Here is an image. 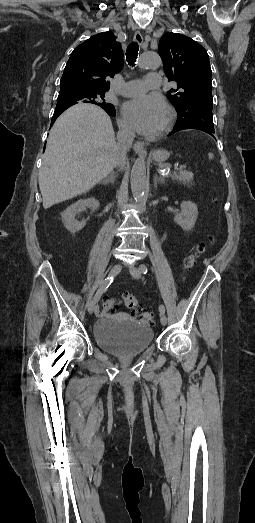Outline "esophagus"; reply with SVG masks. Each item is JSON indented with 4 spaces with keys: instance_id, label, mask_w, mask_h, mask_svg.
<instances>
[{
    "instance_id": "esophagus-1",
    "label": "esophagus",
    "mask_w": 255,
    "mask_h": 523,
    "mask_svg": "<svg viewBox=\"0 0 255 523\" xmlns=\"http://www.w3.org/2000/svg\"><path fill=\"white\" fill-rule=\"evenodd\" d=\"M134 40L138 44L143 42V37L139 31L135 32ZM135 153L138 155H147L146 145L143 142H136L133 146Z\"/></svg>"
}]
</instances>
